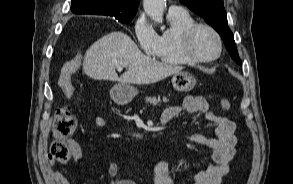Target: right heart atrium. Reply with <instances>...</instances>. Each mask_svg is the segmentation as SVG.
Segmentation results:
<instances>
[{
    "instance_id": "d8ad5b80",
    "label": "right heart atrium",
    "mask_w": 293,
    "mask_h": 184,
    "mask_svg": "<svg viewBox=\"0 0 293 184\" xmlns=\"http://www.w3.org/2000/svg\"><path fill=\"white\" fill-rule=\"evenodd\" d=\"M133 33L142 51L147 55H153L158 43V34L144 14L136 17Z\"/></svg>"
}]
</instances>
